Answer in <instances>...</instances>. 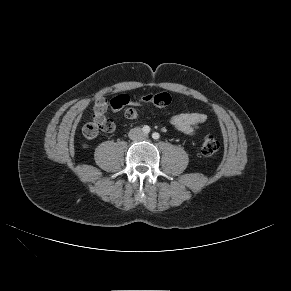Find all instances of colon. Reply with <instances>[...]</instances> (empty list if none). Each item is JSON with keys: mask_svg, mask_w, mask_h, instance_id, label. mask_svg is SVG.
Masks as SVG:
<instances>
[{"mask_svg": "<svg viewBox=\"0 0 291 291\" xmlns=\"http://www.w3.org/2000/svg\"><path fill=\"white\" fill-rule=\"evenodd\" d=\"M171 102V97L167 93L155 92L154 94L131 95L127 92H122L118 96H114L110 102V107L115 111L122 110L130 105H139L147 107H165ZM114 130L113 122L105 115L94 114L92 121L85 124L83 127V135L89 140L95 139L99 133L111 132ZM201 153L206 157L214 156L219 150L218 140L211 134L204 136L201 142Z\"/></svg>", "mask_w": 291, "mask_h": 291, "instance_id": "5ec220e1", "label": "colon"}]
</instances>
